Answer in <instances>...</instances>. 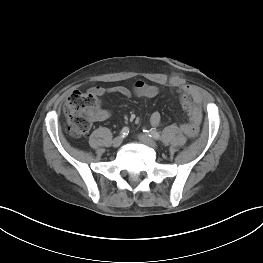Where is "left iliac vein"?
<instances>
[{
	"label": "left iliac vein",
	"mask_w": 263,
	"mask_h": 263,
	"mask_svg": "<svg viewBox=\"0 0 263 263\" xmlns=\"http://www.w3.org/2000/svg\"><path fill=\"white\" fill-rule=\"evenodd\" d=\"M139 140L143 144L147 145L148 147H151L153 149H157L156 142L152 138H150L148 135H146V134L139 135Z\"/></svg>",
	"instance_id": "left-iliac-vein-1"
}]
</instances>
